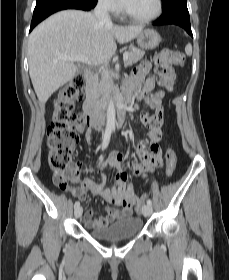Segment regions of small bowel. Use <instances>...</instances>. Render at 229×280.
<instances>
[{
  "label": "small bowel",
  "mask_w": 229,
  "mask_h": 280,
  "mask_svg": "<svg viewBox=\"0 0 229 280\" xmlns=\"http://www.w3.org/2000/svg\"><path fill=\"white\" fill-rule=\"evenodd\" d=\"M150 70V64L144 62L139 65L135 72H133L129 77L127 82L123 85V92L127 96L138 95L143 91H149L153 88L155 81L151 77H147V73ZM175 79L167 82L161 83L163 89L155 92L148 102L146 110L142 113V118L147 121L153 116L150 115L151 109H156L155 115L159 116L162 120L163 112L161 109V101L166 96L167 92L172 89V85ZM154 115V116H155ZM161 129L157 125L151 127L148 132V144L146 146L143 143H136V150L141 157L142 162L135 163L130 172H127L122 167L123 156L119 153H111L104 161L100 164L101 171V183H96L89 178L82 176V167L76 164H72L68 169L67 173L72 182H76L79 186L72 190L75 197L81 201H87L89 195L93 197H101L111 206L106 208V216L100 217L98 219H93L92 211H86L83 215V219L86 227L88 228H102L110 225L119 217H128L133 214L132 205L126 203L131 198H136L135 191L132 185H127L126 182L129 178V174L141 176L146 178L150 170V164L152 161V155L149 150L156 146V143L161 138ZM93 138V132L88 130L85 132V139L90 143ZM107 167H115L118 169L116 174L117 184L112 187H107L105 181L107 180V174L105 169ZM114 206H121L122 210L117 211Z\"/></svg>",
  "instance_id": "c3829d8e"
}]
</instances>
